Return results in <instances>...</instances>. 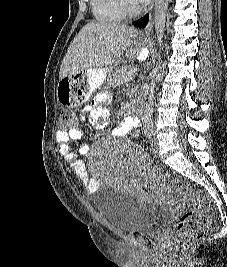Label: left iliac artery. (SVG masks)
I'll use <instances>...</instances> for the list:
<instances>
[{"mask_svg": "<svg viewBox=\"0 0 227 267\" xmlns=\"http://www.w3.org/2000/svg\"><path fill=\"white\" fill-rule=\"evenodd\" d=\"M152 135H153V131H152V130H149V131L147 132V137H148V138H151Z\"/></svg>", "mask_w": 227, "mask_h": 267, "instance_id": "obj_1", "label": "left iliac artery"}]
</instances>
